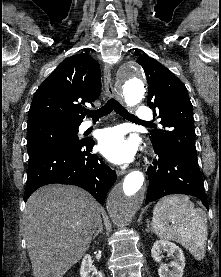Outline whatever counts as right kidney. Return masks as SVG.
Returning a JSON list of instances; mask_svg holds the SVG:
<instances>
[{"instance_id": "1", "label": "right kidney", "mask_w": 221, "mask_h": 277, "mask_svg": "<svg viewBox=\"0 0 221 277\" xmlns=\"http://www.w3.org/2000/svg\"><path fill=\"white\" fill-rule=\"evenodd\" d=\"M80 275L81 277H103L102 273L92 266V259L89 254H86L82 259Z\"/></svg>"}]
</instances>
